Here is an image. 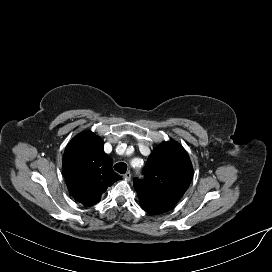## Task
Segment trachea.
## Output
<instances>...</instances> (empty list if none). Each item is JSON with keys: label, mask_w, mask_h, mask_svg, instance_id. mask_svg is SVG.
Masks as SVG:
<instances>
[{"label": "trachea", "mask_w": 272, "mask_h": 272, "mask_svg": "<svg viewBox=\"0 0 272 272\" xmlns=\"http://www.w3.org/2000/svg\"><path fill=\"white\" fill-rule=\"evenodd\" d=\"M114 169L117 172H119L121 174H124V173H126L127 165L125 163H123V162H120V163H117V164L114 165Z\"/></svg>", "instance_id": "1"}]
</instances>
